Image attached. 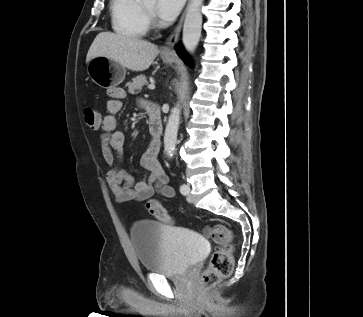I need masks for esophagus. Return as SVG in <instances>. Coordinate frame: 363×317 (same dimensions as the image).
<instances>
[{"label": "esophagus", "instance_id": "obj_1", "mask_svg": "<svg viewBox=\"0 0 363 317\" xmlns=\"http://www.w3.org/2000/svg\"><path fill=\"white\" fill-rule=\"evenodd\" d=\"M186 10H187V8L183 12V14H182L176 28L174 29L172 34L167 39L166 45L162 50V54L164 56H166V57H175L176 56V52H175L174 48H175V45L178 43V40H179V36H180L181 29H182V24H183V21H184Z\"/></svg>", "mask_w": 363, "mask_h": 317}]
</instances>
